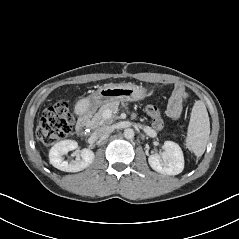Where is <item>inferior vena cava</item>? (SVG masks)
<instances>
[{
  "instance_id": "1",
  "label": "inferior vena cava",
  "mask_w": 239,
  "mask_h": 239,
  "mask_svg": "<svg viewBox=\"0 0 239 239\" xmlns=\"http://www.w3.org/2000/svg\"><path fill=\"white\" fill-rule=\"evenodd\" d=\"M114 130V128L112 126H104V127H101L99 128L96 132H95V135L94 137L95 138H98V137H101L103 135H107V134H110L112 133Z\"/></svg>"
}]
</instances>
